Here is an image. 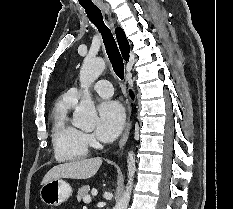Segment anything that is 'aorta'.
Returning <instances> with one entry per match:
<instances>
[{
	"instance_id": "762f6f07",
	"label": "aorta",
	"mask_w": 233,
	"mask_h": 209,
	"mask_svg": "<svg viewBox=\"0 0 233 209\" xmlns=\"http://www.w3.org/2000/svg\"><path fill=\"white\" fill-rule=\"evenodd\" d=\"M105 69V61L101 58H86L80 70V86L83 91V97L80 104L76 107L73 114L72 124L86 131H91L95 127L97 112L89 91L90 86L101 75ZM128 183L121 199L116 203L113 209H127L130 202L133 188V179L136 171L135 157L133 152H129L127 158Z\"/></svg>"
}]
</instances>
